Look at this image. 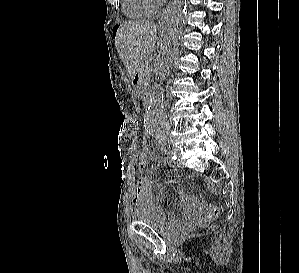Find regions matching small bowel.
<instances>
[{
  "mask_svg": "<svg viewBox=\"0 0 299 273\" xmlns=\"http://www.w3.org/2000/svg\"><path fill=\"white\" fill-rule=\"evenodd\" d=\"M147 160L148 149H142L139 156V162L135 165V168L143 170L147 165ZM179 195L183 204V214L187 220H192L201 214L203 206L197 198L184 191H180ZM164 198L165 191L162 186H159L157 192L158 202H163ZM133 203L136 210L148 208L156 210L164 218L166 216L165 211L155 203V199L151 191L150 181L147 177H141L137 181Z\"/></svg>",
  "mask_w": 299,
  "mask_h": 273,
  "instance_id": "c3829d8e",
  "label": "small bowel"
}]
</instances>
